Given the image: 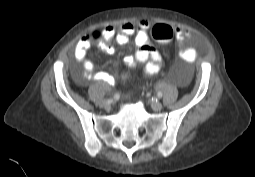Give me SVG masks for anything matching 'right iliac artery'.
Here are the masks:
<instances>
[{
	"instance_id": "right-iliac-artery-1",
	"label": "right iliac artery",
	"mask_w": 255,
	"mask_h": 177,
	"mask_svg": "<svg viewBox=\"0 0 255 177\" xmlns=\"http://www.w3.org/2000/svg\"><path fill=\"white\" fill-rule=\"evenodd\" d=\"M119 98H120V95H119V94H115V95L113 96V99H114V100H119Z\"/></svg>"
}]
</instances>
